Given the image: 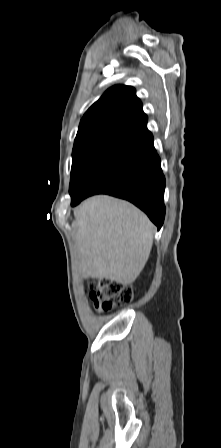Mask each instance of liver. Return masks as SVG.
<instances>
[{"label":"liver","mask_w":221,"mask_h":448,"mask_svg":"<svg viewBox=\"0 0 221 448\" xmlns=\"http://www.w3.org/2000/svg\"><path fill=\"white\" fill-rule=\"evenodd\" d=\"M75 242L86 278L133 283L143 270L153 245L154 226L131 203L98 195L75 211Z\"/></svg>","instance_id":"6515ba94"}]
</instances>
